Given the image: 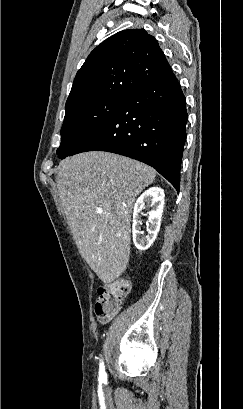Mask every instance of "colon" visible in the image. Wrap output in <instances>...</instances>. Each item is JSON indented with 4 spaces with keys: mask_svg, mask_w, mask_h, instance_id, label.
Wrapping results in <instances>:
<instances>
[{
    "mask_svg": "<svg viewBox=\"0 0 243 409\" xmlns=\"http://www.w3.org/2000/svg\"><path fill=\"white\" fill-rule=\"evenodd\" d=\"M130 289V282L124 278H118L100 285L95 303L96 318L101 322L111 319L120 309Z\"/></svg>",
    "mask_w": 243,
    "mask_h": 409,
    "instance_id": "1",
    "label": "colon"
}]
</instances>
